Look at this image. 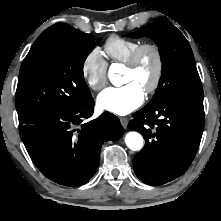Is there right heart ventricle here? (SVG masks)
Wrapping results in <instances>:
<instances>
[{
    "label": "right heart ventricle",
    "mask_w": 221,
    "mask_h": 221,
    "mask_svg": "<svg viewBox=\"0 0 221 221\" xmlns=\"http://www.w3.org/2000/svg\"><path fill=\"white\" fill-rule=\"evenodd\" d=\"M139 45V40L113 35L106 40L104 51L112 62L126 63Z\"/></svg>",
    "instance_id": "obj_1"
}]
</instances>
